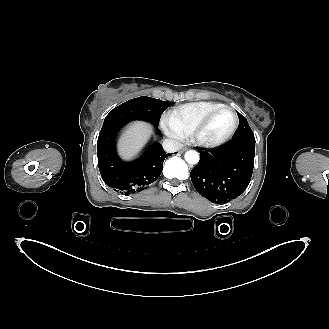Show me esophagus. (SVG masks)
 Instances as JSON below:
<instances>
[{
    "label": "esophagus",
    "instance_id": "obj_1",
    "mask_svg": "<svg viewBox=\"0 0 329 329\" xmlns=\"http://www.w3.org/2000/svg\"><path fill=\"white\" fill-rule=\"evenodd\" d=\"M187 150V148L186 147H184L183 149H181V151L180 152H185Z\"/></svg>",
    "mask_w": 329,
    "mask_h": 329
}]
</instances>
